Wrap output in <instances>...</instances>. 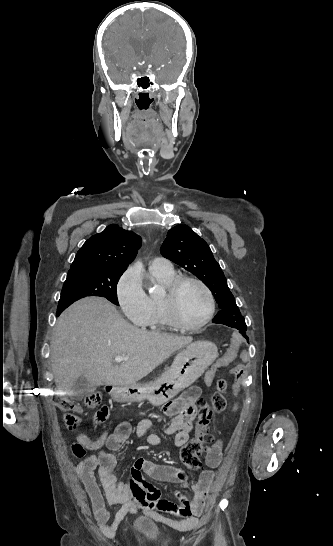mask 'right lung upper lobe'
Returning <instances> with one entry per match:
<instances>
[{"label": "right lung upper lobe", "mask_w": 333, "mask_h": 546, "mask_svg": "<svg viewBox=\"0 0 333 546\" xmlns=\"http://www.w3.org/2000/svg\"><path fill=\"white\" fill-rule=\"evenodd\" d=\"M141 237L118 225H109L92 236L78 251L68 274L84 273L93 268L126 270L141 247Z\"/></svg>", "instance_id": "obj_1"}]
</instances>
